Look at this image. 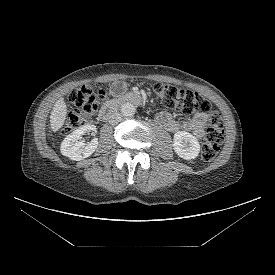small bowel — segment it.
Wrapping results in <instances>:
<instances>
[{"label":"small bowel","instance_id":"small-bowel-1","mask_svg":"<svg viewBox=\"0 0 275 275\" xmlns=\"http://www.w3.org/2000/svg\"><path fill=\"white\" fill-rule=\"evenodd\" d=\"M125 90V83L122 81H116L110 87V92L114 95L119 94ZM211 114L202 113L193 116L192 118L180 123L176 121L171 114L167 112H160L156 120L160 126L170 132H177L180 129L185 131H191L197 137H202L204 128L207 122L210 120Z\"/></svg>","mask_w":275,"mask_h":275}]
</instances>
